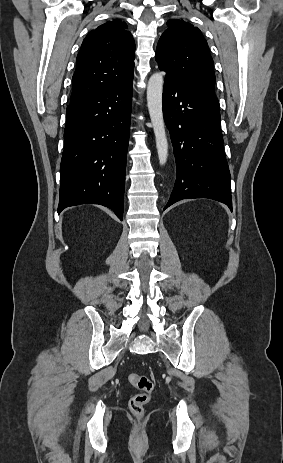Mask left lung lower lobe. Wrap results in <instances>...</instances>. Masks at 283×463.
<instances>
[{"label": "left lung lower lobe", "mask_w": 283, "mask_h": 463, "mask_svg": "<svg viewBox=\"0 0 283 463\" xmlns=\"http://www.w3.org/2000/svg\"><path fill=\"white\" fill-rule=\"evenodd\" d=\"M163 116L176 161V182L164 210L189 198L214 199L232 210L231 177L223 150L219 106L166 75Z\"/></svg>", "instance_id": "left-lung-lower-lobe-1"}]
</instances>
